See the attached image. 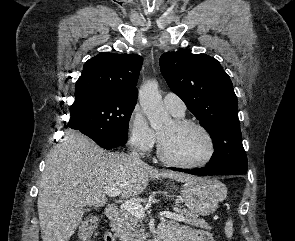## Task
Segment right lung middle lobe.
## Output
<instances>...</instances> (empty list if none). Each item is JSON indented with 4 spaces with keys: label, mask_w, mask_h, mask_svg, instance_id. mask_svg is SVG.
Segmentation results:
<instances>
[{
    "label": "right lung middle lobe",
    "mask_w": 295,
    "mask_h": 241,
    "mask_svg": "<svg viewBox=\"0 0 295 241\" xmlns=\"http://www.w3.org/2000/svg\"><path fill=\"white\" fill-rule=\"evenodd\" d=\"M135 104L136 101L119 97L92 94L75 100L67 127L82 132L99 146L124 145Z\"/></svg>",
    "instance_id": "obj_1"
}]
</instances>
